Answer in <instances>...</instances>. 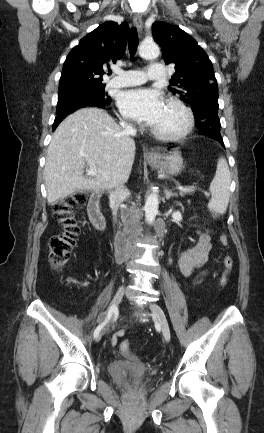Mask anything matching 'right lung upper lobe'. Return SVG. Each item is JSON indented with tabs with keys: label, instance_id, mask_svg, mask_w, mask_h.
<instances>
[{
	"label": "right lung upper lobe",
	"instance_id": "cb5924a9",
	"mask_svg": "<svg viewBox=\"0 0 264 433\" xmlns=\"http://www.w3.org/2000/svg\"><path fill=\"white\" fill-rule=\"evenodd\" d=\"M128 24L108 21L82 38L68 54L59 82V93L72 87L102 84L109 64L123 57Z\"/></svg>",
	"mask_w": 264,
	"mask_h": 433
}]
</instances>
